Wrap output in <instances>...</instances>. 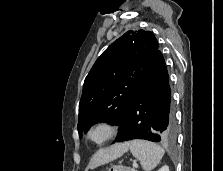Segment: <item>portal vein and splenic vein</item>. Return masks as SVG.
I'll return each mask as SVG.
<instances>
[{
  "instance_id": "obj_1",
  "label": "portal vein and splenic vein",
  "mask_w": 223,
  "mask_h": 171,
  "mask_svg": "<svg viewBox=\"0 0 223 171\" xmlns=\"http://www.w3.org/2000/svg\"><path fill=\"white\" fill-rule=\"evenodd\" d=\"M133 167H134V168H137V167H138V164H137L136 162H134V163H133Z\"/></svg>"
}]
</instances>
